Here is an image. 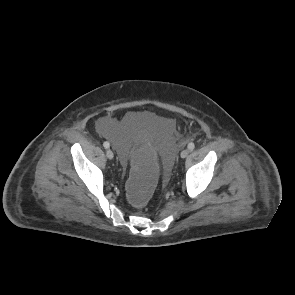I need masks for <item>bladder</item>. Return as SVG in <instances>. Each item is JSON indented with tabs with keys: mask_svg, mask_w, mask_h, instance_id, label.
Here are the masks:
<instances>
[{
	"mask_svg": "<svg viewBox=\"0 0 295 295\" xmlns=\"http://www.w3.org/2000/svg\"><path fill=\"white\" fill-rule=\"evenodd\" d=\"M97 129L117 144L115 150L122 169L127 170L132 165L130 148L133 142L147 138L158 148L164 175H173L174 152L178 143L174 137H171L174 124L169 118L151 112H132L119 123L114 122L112 118L103 117L97 122Z\"/></svg>",
	"mask_w": 295,
	"mask_h": 295,
	"instance_id": "31cf9c89",
	"label": "bladder"
}]
</instances>
